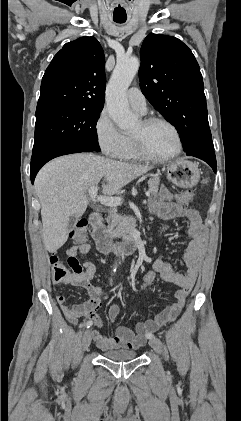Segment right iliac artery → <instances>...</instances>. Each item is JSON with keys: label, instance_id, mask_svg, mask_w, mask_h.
<instances>
[{"label": "right iliac artery", "instance_id": "82829eb1", "mask_svg": "<svg viewBox=\"0 0 241 421\" xmlns=\"http://www.w3.org/2000/svg\"><path fill=\"white\" fill-rule=\"evenodd\" d=\"M92 321H87L86 322V324H85V326L87 327V328H89V327H91L92 326Z\"/></svg>", "mask_w": 241, "mask_h": 421}]
</instances>
